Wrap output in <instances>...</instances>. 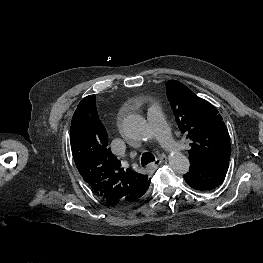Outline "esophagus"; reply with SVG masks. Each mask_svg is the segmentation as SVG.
Returning <instances> with one entry per match:
<instances>
[{
    "label": "esophagus",
    "instance_id": "obj_1",
    "mask_svg": "<svg viewBox=\"0 0 263 263\" xmlns=\"http://www.w3.org/2000/svg\"><path fill=\"white\" fill-rule=\"evenodd\" d=\"M161 163H162V159H156L154 162L150 163L147 166V169L148 170H155L160 166Z\"/></svg>",
    "mask_w": 263,
    "mask_h": 263
}]
</instances>
